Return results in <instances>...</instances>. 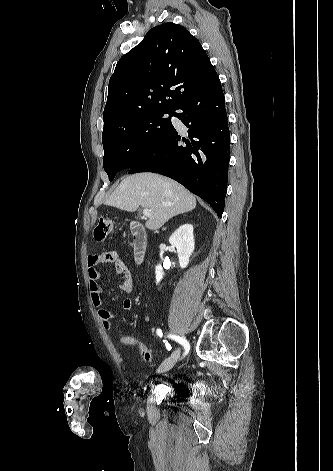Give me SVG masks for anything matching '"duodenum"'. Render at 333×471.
<instances>
[{"instance_id":"410a0bca","label":"duodenum","mask_w":333,"mask_h":471,"mask_svg":"<svg viewBox=\"0 0 333 471\" xmlns=\"http://www.w3.org/2000/svg\"><path fill=\"white\" fill-rule=\"evenodd\" d=\"M131 234L133 241V255L138 264H141L146 255L147 250V236L141 224L138 222L131 223Z\"/></svg>"}]
</instances>
